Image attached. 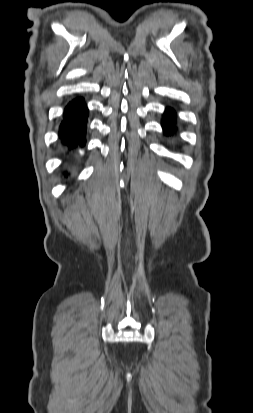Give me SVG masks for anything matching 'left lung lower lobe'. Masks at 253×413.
<instances>
[{"label": "left lung lower lobe", "instance_id": "obj_1", "mask_svg": "<svg viewBox=\"0 0 253 413\" xmlns=\"http://www.w3.org/2000/svg\"><path fill=\"white\" fill-rule=\"evenodd\" d=\"M174 118V111L170 108H167L162 121L163 130L167 136L173 134L176 131Z\"/></svg>", "mask_w": 253, "mask_h": 413}]
</instances>
